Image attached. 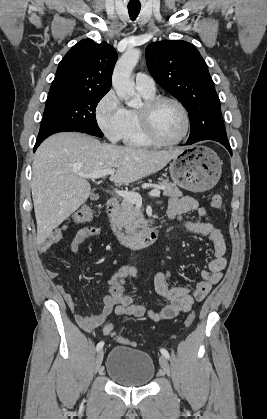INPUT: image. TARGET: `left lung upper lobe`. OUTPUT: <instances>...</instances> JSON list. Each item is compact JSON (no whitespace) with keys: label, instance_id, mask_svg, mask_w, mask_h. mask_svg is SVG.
Masks as SVG:
<instances>
[{"label":"left lung upper lobe","instance_id":"obj_1","mask_svg":"<svg viewBox=\"0 0 267 419\" xmlns=\"http://www.w3.org/2000/svg\"><path fill=\"white\" fill-rule=\"evenodd\" d=\"M146 61L155 81L188 111L191 130L206 123L215 137L226 136L214 82L191 43L181 40L151 43L146 48Z\"/></svg>","mask_w":267,"mask_h":419}]
</instances>
